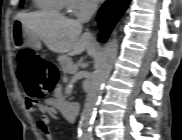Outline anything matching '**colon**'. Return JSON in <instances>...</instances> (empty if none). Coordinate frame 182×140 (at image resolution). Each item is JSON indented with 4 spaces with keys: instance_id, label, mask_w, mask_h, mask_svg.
Returning a JSON list of instances; mask_svg holds the SVG:
<instances>
[{
    "instance_id": "colon-1",
    "label": "colon",
    "mask_w": 182,
    "mask_h": 140,
    "mask_svg": "<svg viewBox=\"0 0 182 140\" xmlns=\"http://www.w3.org/2000/svg\"><path fill=\"white\" fill-rule=\"evenodd\" d=\"M18 77L22 81L28 99L37 103L47 95L57 77L55 67L31 49H22L17 54Z\"/></svg>"
}]
</instances>
